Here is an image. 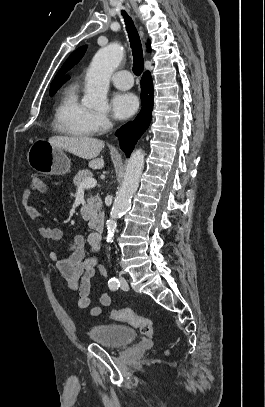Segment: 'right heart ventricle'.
<instances>
[{
    "label": "right heart ventricle",
    "mask_w": 265,
    "mask_h": 407,
    "mask_svg": "<svg viewBox=\"0 0 265 407\" xmlns=\"http://www.w3.org/2000/svg\"><path fill=\"white\" fill-rule=\"evenodd\" d=\"M92 111L78 96V86L68 85L62 92L54 111V128L61 134L86 138L94 135Z\"/></svg>",
    "instance_id": "right-heart-ventricle-1"
}]
</instances>
